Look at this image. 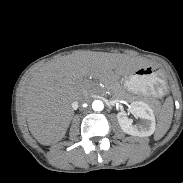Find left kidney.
Instances as JSON below:
<instances>
[{"mask_svg": "<svg viewBox=\"0 0 183 183\" xmlns=\"http://www.w3.org/2000/svg\"><path fill=\"white\" fill-rule=\"evenodd\" d=\"M130 112L140 118V123L134 124L126 112H119L117 119L121 129L132 136L148 137L155 131V116L152 108L145 102L133 101Z\"/></svg>", "mask_w": 183, "mask_h": 183, "instance_id": "5707ae66", "label": "left kidney"}]
</instances>
